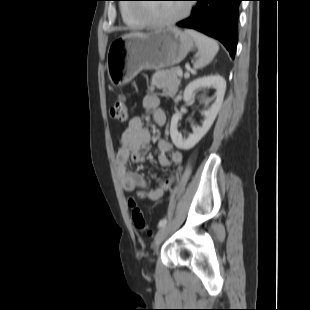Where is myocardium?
Listing matches in <instances>:
<instances>
[{"instance_id": "f54148a6", "label": "myocardium", "mask_w": 310, "mask_h": 310, "mask_svg": "<svg viewBox=\"0 0 310 310\" xmlns=\"http://www.w3.org/2000/svg\"><path fill=\"white\" fill-rule=\"evenodd\" d=\"M190 11H191V5L187 4L183 7V11L178 16L169 20H158L147 14L143 15L140 9H137L135 7L133 8V14L135 17L142 19L146 23V26L154 28H162L174 25L179 21H181L182 19H184L185 17H187Z\"/></svg>"}]
</instances>
